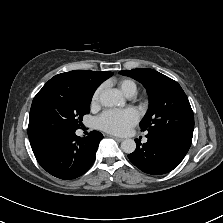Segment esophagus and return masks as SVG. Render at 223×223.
Instances as JSON below:
<instances>
[{
    "label": "esophagus",
    "mask_w": 223,
    "mask_h": 223,
    "mask_svg": "<svg viewBox=\"0 0 223 223\" xmlns=\"http://www.w3.org/2000/svg\"><path fill=\"white\" fill-rule=\"evenodd\" d=\"M108 137H110V138H112V139H114V140H116V141H118V142H122L124 139L123 138H119V137H117V136H114V135H108Z\"/></svg>",
    "instance_id": "34e87169"
}]
</instances>
